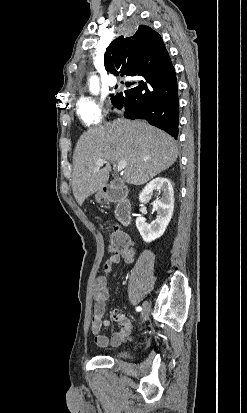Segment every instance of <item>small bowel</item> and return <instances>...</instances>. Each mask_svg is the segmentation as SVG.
<instances>
[{"mask_svg": "<svg viewBox=\"0 0 247 413\" xmlns=\"http://www.w3.org/2000/svg\"><path fill=\"white\" fill-rule=\"evenodd\" d=\"M134 255L135 252L133 248L130 247L122 252L112 253L103 266L102 275L96 279L93 294L94 311L91 329L94 335V341L99 347H107L109 344L118 346L130 332V322L127 318V312L125 310L112 309L111 315L121 326V330L115 332L110 339L101 333L102 328L108 325L105 313L107 310V300L110 296L108 285L114 266L121 260L128 264L132 263L134 261Z\"/></svg>", "mask_w": 247, "mask_h": 413, "instance_id": "obj_1", "label": "small bowel"}]
</instances>
